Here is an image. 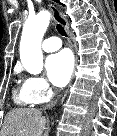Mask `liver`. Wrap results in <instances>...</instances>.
I'll use <instances>...</instances> for the list:
<instances>
[{
    "label": "liver",
    "mask_w": 117,
    "mask_h": 136,
    "mask_svg": "<svg viewBox=\"0 0 117 136\" xmlns=\"http://www.w3.org/2000/svg\"><path fill=\"white\" fill-rule=\"evenodd\" d=\"M46 118L36 108H17L9 111L4 119L1 136H41Z\"/></svg>",
    "instance_id": "1"
}]
</instances>
